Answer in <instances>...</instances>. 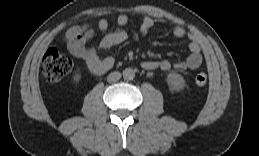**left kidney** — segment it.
Returning <instances> with one entry per match:
<instances>
[{
	"mask_svg": "<svg viewBox=\"0 0 259 156\" xmlns=\"http://www.w3.org/2000/svg\"><path fill=\"white\" fill-rule=\"evenodd\" d=\"M167 83L173 91H180L186 86L185 79L176 72H170L167 76Z\"/></svg>",
	"mask_w": 259,
	"mask_h": 156,
	"instance_id": "left-kidney-1",
	"label": "left kidney"
}]
</instances>
